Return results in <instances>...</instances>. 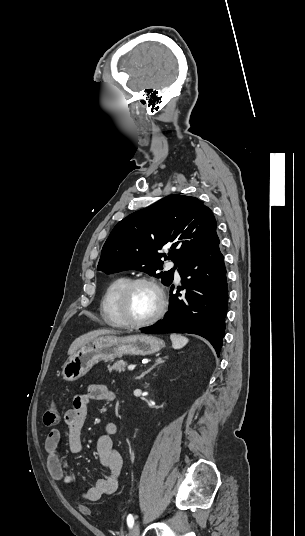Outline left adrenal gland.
I'll return each mask as SVG.
<instances>
[{
  "mask_svg": "<svg viewBox=\"0 0 305 536\" xmlns=\"http://www.w3.org/2000/svg\"><path fill=\"white\" fill-rule=\"evenodd\" d=\"M156 364H154V366H152V368H149V370H147V372H142L141 376H138V378H135V380H140V378H144V376H146V374H149V372H151V370H153V368H155V366H158V364H163L164 360L163 358H157V360H155Z\"/></svg>",
  "mask_w": 305,
  "mask_h": 536,
  "instance_id": "left-adrenal-gland-1",
  "label": "left adrenal gland"
}]
</instances>
